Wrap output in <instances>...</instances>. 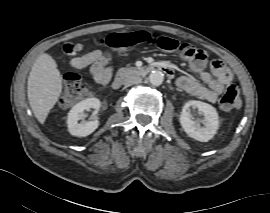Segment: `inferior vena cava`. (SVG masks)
Returning <instances> with one entry per match:
<instances>
[{"label": "inferior vena cava", "instance_id": "1", "mask_svg": "<svg viewBox=\"0 0 270 213\" xmlns=\"http://www.w3.org/2000/svg\"><path fill=\"white\" fill-rule=\"evenodd\" d=\"M141 81H142L141 77L135 76V75H130V76H127L126 78H124L123 85L131 86V85H134V84H138Z\"/></svg>", "mask_w": 270, "mask_h": 213}]
</instances>
